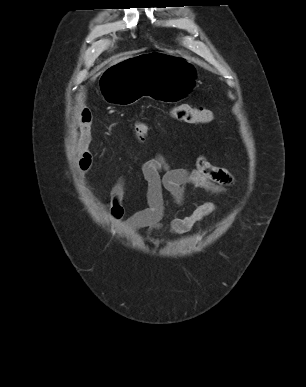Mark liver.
Returning <instances> with one entry per match:
<instances>
[{"label":"liver","mask_w":306,"mask_h":387,"mask_svg":"<svg viewBox=\"0 0 306 387\" xmlns=\"http://www.w3.org/2000/svg\"><path fill=\"white\" fill-rule=\"evenodd\" d=\"M126 59H127V57L120 58V59H118V60H115V61L113 62V64L119 63V62H121V61H123V60H126Z\"/></svg>","instance_id":"liver-1"}]
</instances>
